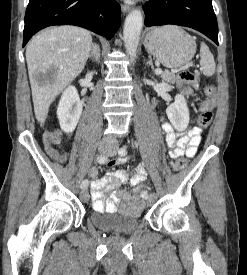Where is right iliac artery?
<instances>
[{
    "mask_svg": "<svg viewBox=\"0 0 247 275\" xmlns=\"http://www.w3.org/2000/svg\"><path fill=\"white\" fill-rule=\"evenodd\" d=\"M108 157H106L105 155H99L97 157V161L100 164H104L107 161ZM89 181L87 179L83 180L81 183V188L82 189H86L88 187Z\"/></svg>",
    "mask_w": 247,
    "mask_h": 275,
    "instance_id": "right-iliac-artery-1",
    "label": "right iliac artery"
}]
</instances>
